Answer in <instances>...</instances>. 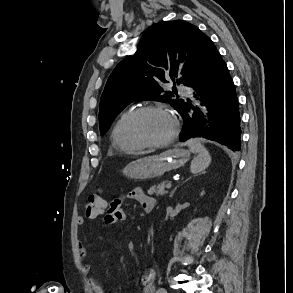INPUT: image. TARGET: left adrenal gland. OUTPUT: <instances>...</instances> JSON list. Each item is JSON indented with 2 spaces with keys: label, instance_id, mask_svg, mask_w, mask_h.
Returning <instances> with one entry per match:
<instances>
[{
  "label": "left adrenal gland",
  "instance_id": "left-adrenal-gland-1",
  "mask_svg": "<svg viewBox=\"0 0 293 293\" xmlns=\"http://www.w3.org/2000/svg\"><path fill=\"white\" fill-rule=\"evenodd\" d=\"M176 189H177V188H174V189L172 190V192H171V194H170V197H173V195H174Z\"/></svg>",
  "mask_w": 293,
  "mask_h": 293
}]
</instances>
